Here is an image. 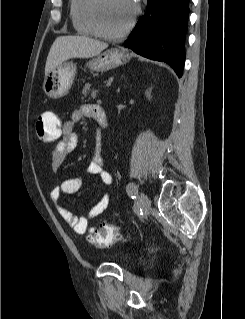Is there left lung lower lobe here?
Segmentation results:
<instances>
[{"mask_svg":"<svg viewBox=\"0 0 245 319\" xmlns=\"http://www.w3.org/2000/svg\"><path fill=\"white\" fill-rule=\"evenodd\" d=\"M147 2L146 14L139 19L124 46L149 59L166 62L181 77L189 0Z\"/></svg>","mask_w":245,"mask_h":319,"instance_id":"obj_1","label":"left lung lower lobe"}]
</instances>
